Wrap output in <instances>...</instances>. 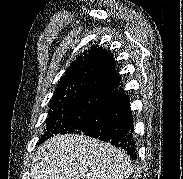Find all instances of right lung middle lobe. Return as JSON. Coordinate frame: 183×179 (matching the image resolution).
Masks as SVG:
<instances>
[{"label":"right lung middle lobe","mask_w":183,"mask_h":179,"mask_svg":"<svg viewBox=\"0 0 183 179\" xmlns=\"http://www.w3.org/2000/svg\"><path fill=\"white\" fill-rule=\"evenodd\" d=\"M106 104L105 96H87L50 106L47 127L40 143L58 134L76 133L96 120Z\"/></svg>","instance_id":"1"}]
</instances>
